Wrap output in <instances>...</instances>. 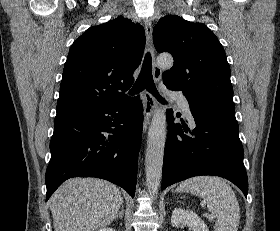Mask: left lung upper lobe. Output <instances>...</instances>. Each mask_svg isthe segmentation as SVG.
I'll return each instance as SVG.
<instances>
[{
  "label": "left lung upper lobe",
  "mask_w": 280,
  "mask_h": 231,
  "mask_svg": "<svg viewBox=\"0 0 280 231\" xmlns=\"http://www.w3.org/2000/svg\"><path fill=\"white\" fill-rule=\"evenodd\" d=\"M153 40L159 53L174 58L163 73L168 89L182 91L191 105L235 112L226 54L207 26L168 15L155 26Z\"/></svg>",
  "instance_id": "left-lung-upper-lobe-1"
}]
</instances>
